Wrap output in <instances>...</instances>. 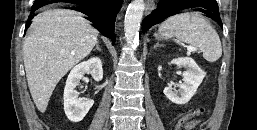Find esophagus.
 <instances>
[{
	"mask_svg": "<svg viewBox=\"0 0 257 130\" xmlns=\"http://www.w3.org/2000/svg\"><path fill=\"white\" fill-rule=\"evenodd\" d=\"M155 7L154 0H147L145 3V14H149Z\"/></svg>",
	"mask_w": 257,
	"mask_h": 130,
	"instance_id": "esophagus-1",
	"label": "esophagus"
}]
</instances>
